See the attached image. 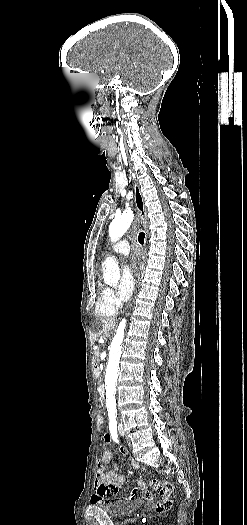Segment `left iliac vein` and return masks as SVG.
Wrapping results in <instances>:
<instances>
[{"label":"left iliac vein","instance_id":"left-iliac-vein-1","mask_svg":"<svg viewBox=\"0 0 247 525\" xmlns=\"http://www.w3.org/2000/svg\"><path fill=\"white\" fill-rule=\"evenodd\" d=\"M119 434H120L121 436H123V435H124V431H123V428H122V426H120V427H119Z\"/></svg>","mask_w":247,"mask_h":525}]
</instances>
